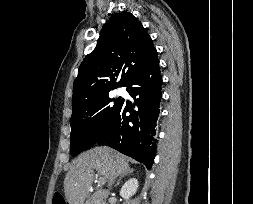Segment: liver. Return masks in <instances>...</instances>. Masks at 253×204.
<instances>
[{"label": "liver", "instance_id": "obj_1", "mask_svg": "<svg viewBox=\"0 0 253 204\" xmlns=\"http://www.w3.org/2000/svg\"><path fill=\"white\" fill-rule=\"evenodd\" d=\"M130 167L126 157L109 147H95L78 156L64 179L69 204H84L94 181V170L104 182L125 175Z\"/></svg>", "mask_w": 253, "mask_h": 204}]
</instances>
